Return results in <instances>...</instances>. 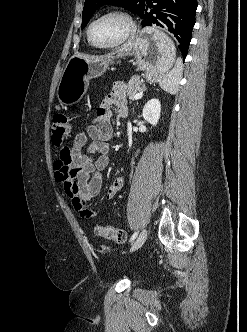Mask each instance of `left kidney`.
Here are the masks:
<instances>
[{"instance_id": "obj_1", "label": "left kidney", "mask_w": 247, "mask_h": 332, "mask_svg": "<svg viewBox=\"0 0 247 332\" xmlns=\"http://www.w3.org/2000/svg\"><path fill=\"white\" fill-rule=\"evenodd\" d=\"M160 113H161L160 101L158 99H151L145 104L142 116L151 125L156 126L160 119Z\"/></svg>"}]
</instances>
